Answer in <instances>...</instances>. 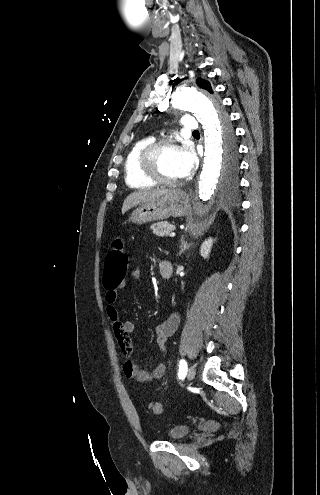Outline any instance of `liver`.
Segmentation results:
<instances>
[{
  "mask_svg": "<svg viewBox=\"0 0 320 495\" xmlns=\"http://www.w3.org/2000/svg\"><path fill=\"white\" fill-rule=\"evenodd\" d=\"M170 190H149V191H135L128 195L126 199L124 200L123 206H122V214H124L126 211H128L130 208L141 204L145 203L151 200H154L155 198L168 193Z\"/></svg>",
  "mask_w": 320,
  "mask_h": 495,
  "instance_id": "liver-1",
  "label": "liver"
}]
</instances>
